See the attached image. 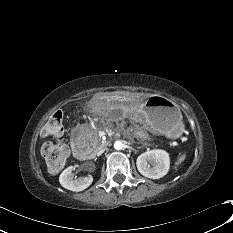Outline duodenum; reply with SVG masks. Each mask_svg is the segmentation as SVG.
<instances>
[{
    "instance_id": "obj_1",
    "label": "duodenum",
    "mask_w": 233,
    "mask_h": 233,
    "mask_svg": "<svg viewBox=\"0 0 233 233\" xmlns=\"http://www.w3.org/2000/svg\"><path fill=\"white\" fill-rule=\"evenodd\" d=\"M72 148L73 151L75 153V155L82 160H87L89 157V152L85 146V144L78 142V141H74L72 143Z\"/></svg>"
}]
</instances>
